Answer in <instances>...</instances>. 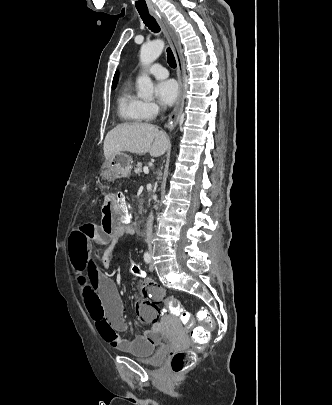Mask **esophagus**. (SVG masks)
Returning a JSON list of instances; mask_svg holds the SVG:
<instances>
[{
  "label": "esophagus",
  "mask_w": 332,
  "mask_h": 405,
  "mask_svg": "<svg viewBox=\"0 0 332 405\" xmlns=\"http://www.w3.org/2000/svg\"><path fill=\"white\" fill-rule=\"evenodd\" d=\"M150 13L155 17V19L161 26V29L173 50V53L176 58L177 66H178V79H179V84H180L179 95H178V99H177L175 108L172 111V113L169 117L168 123H167V127L169 129H173L177 125V123L180 119V115H181L182 108H183V102H184L185 65H184L182 47H181L180 38H179L178 33L174 30L172 25L169 23L166 16L159 10H151Z\"/></svg>",
  "instance_id": "1"
}]
</instances>
